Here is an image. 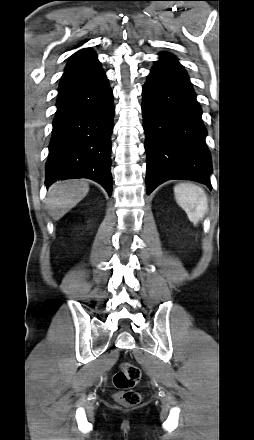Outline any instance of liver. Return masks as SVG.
<instances>
[{
	"mask_svg": "<svg viewBox=\"0 0 254 440\" xmlns=\"http://www.w3.org/2000/svg\"><path fill=\"white\" fill-rule=\"evenodd\" d=\"M89 192V185L84 180L71 179L57 181L50 186L46 204L55 220H59L76 206Z\"/></svg>",
	"mask_w": 254,
	"mask_h": 440,
	"instance_id": "1",
	"label": "liver"
}]
</instances>
